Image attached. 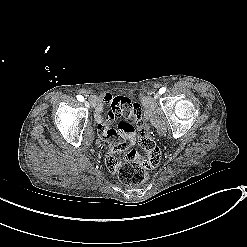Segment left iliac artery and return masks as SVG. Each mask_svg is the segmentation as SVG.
Returning a JSON list of instances; mask_svg holds the SVG:
<instances>
[{"label":"left iliac artery","mask_w":247,"mask_h":247,"mask_svg":"<svg viewBox=\"0 0 247 247\" xmlns=\"http://www.w3.org/2000/svg\"><path fill=\"white\" fill-rule=\"evenodd\" d=\"M165 91H166V88L162 87L159 89V94H163V93H165Z\"/></svg>","instance_id":"1"}]
</instances>
